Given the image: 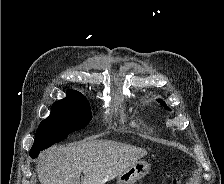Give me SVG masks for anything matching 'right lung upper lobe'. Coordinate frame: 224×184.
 <instances>
[{
    "label": "right lung upper lobe",
    "instance_id": "cb5924a9",
    "mask_svg": "<svg viewBox=\"0 0 224 184\" xmlns=\"http://www.w3.org/2000/svg\"><path fill=\"white\" fill-rule=\"evenodd\" d=\"M86 99L84 95L81 93L74 91V90H68L66 98L59 100L63 102H79ZM87 100V99H86Z\"/></svg>",
    "mask_w": 224,
    "mask_h": 184
}]
</instances>
